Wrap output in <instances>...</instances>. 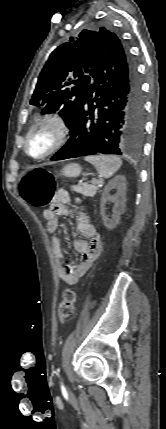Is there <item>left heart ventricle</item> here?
Returning <instances> with one entry per match:
<instances>
[{
    "instance_id": "1",
    "label": "left heart ventricle",
    "mask_w": 166,
    "mask_h": 429,
    "mask_svg": "<svg viewBox=\"0 0 166 429\" xmlns=\"http://www.w3.org/2000/svg\"><path fill=\"white\" fill-rule=\"evenodd\" d=\"M54 142V132L51 128L42 127L35 131L28 142V150L33 156L45 153Z\"/></svg>"
}]
</instances>
